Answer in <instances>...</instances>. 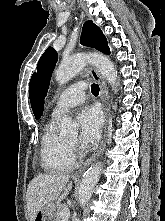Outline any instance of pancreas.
<instances>
[{
	"instance_id": "1",
	"label": "pancreas",
	"mask_w": 165,
	"mask_h": 221,
	"mask_svg": "<svg viewBox=\"0 0 165 221\" xmlns=\"http://www.w3.org/2000/svg\"><path fill=\"white\" fill-rule=\"evenodd\" d=\"M64 206L65 205H63V204H58V205L55 206V217L57 219L56 221H62L60 212H61V210L63 209Z\"/></svg>"
}]
</instances>
